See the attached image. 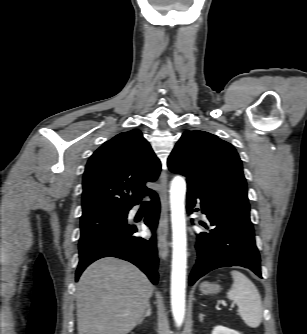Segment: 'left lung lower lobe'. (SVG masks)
Listing matches in <instances>:
<instances>
[{"label": "left lung lower lobe", "mask_w": 307, "mask_h": 334, "mask_svg": "<svg viewBox=\"0 0 307 334\" xmlns=\"http://www.w3.org/2000/svg\"><path fill=\"white\" fill-rule=\"evenodd\" d=\"M201 200V210L213 229L197 234V261L190 274V285L213 269L242 266L260 278V256L250 221V208L234 202L211 198L188 189L187 212Z\"/></svg>", "instance_id": "0a47b994"}]
</instances>
